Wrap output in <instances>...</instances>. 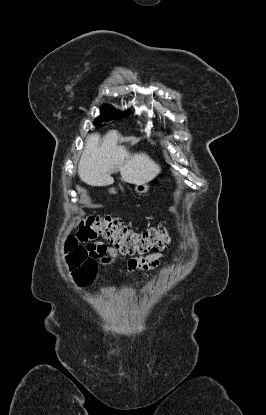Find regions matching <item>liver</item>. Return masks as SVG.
<instances>
[{
	"label": "liver",
	"instance_id": "obj_1",
	"mask_svg": "<svg viewBox=\"0 0 266 415\" xmlns=\"http://www.w3.org/2000/svg\"><path fill=\"white\" fill-rule=\"evenodd\" d=\"M119 133L109 131L100 141V135L93 133L85 141L78 175L90 186L113 184L111 174L119 170L122 179L130 184L148 183L161 168L147 154H131L124 146H118Z\"/></svg>",
	"mask_w": 266,
	"mask_h": 415
}]
</instances>
